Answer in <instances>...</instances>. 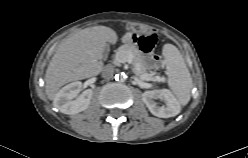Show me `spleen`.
Instances as JSON below:
<instances>
[{"mask_svg":"<svg viewBox=\"0 0 248 158\" xmlns=\"http://www.w3.org/2000/svg\"><path fill=\"white\" fill-rule=\"evenodd\" d=\"M165 57L168 84L181 105L190 101V93L193 81L190 72L179 50L172 44H166L163 48Z\"/></svg>","mask_w":248,"mask_h":158,"instance_id":"1","label":"spleen"}]
</instances>
